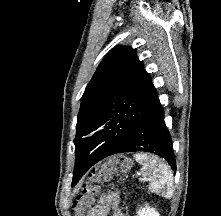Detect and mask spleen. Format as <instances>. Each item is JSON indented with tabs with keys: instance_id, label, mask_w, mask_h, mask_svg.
Here are the masks:
<instances>
[{
	"instance_id": "spleen-1",
	"label": "spleen",
	"mask_w": 221,
	"mask_h": 216,
	"mask_svg": "<svg viewBox=\"0 0 221 216\" xmlns=\"http://www.w3.org/2000/svg\"><path fill=\"white\" fill-rule=\"evenodd\" d=\"M134 158L142 165L141 173L149 181V190L169 199L173 195V173L164 161L157 156L135 154Z\"/></svg>"
}]
</instances>
